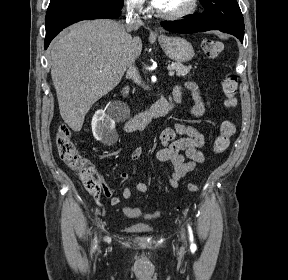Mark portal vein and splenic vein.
<instances>
[{
  "label": "portal vein and splenic vein",
  "instance_id": "1",
  "mask_svg": "<svg viewBox=\"0 0 288 280\" xmlns=\"http://www.w3.org/2000/svg\"><path fill=\"white\" fill-rule=\"evenodd\" d=\"M168 70H169V75L170 76H173L174 75V71L171 67H168Z\"/></svg>",
  "mask_w": 288,
  "mask_h": 280
}]
</instances>
